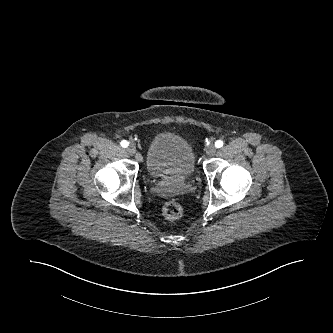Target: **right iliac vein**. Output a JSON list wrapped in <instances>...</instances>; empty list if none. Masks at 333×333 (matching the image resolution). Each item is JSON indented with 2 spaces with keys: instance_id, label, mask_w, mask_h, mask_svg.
<instances>
[{
  "instance_id": "1",
  "label": "right iliac vein",
  "mask_w": 333,
  "mask_h": 333,
  "mask_svg": "<svg viewBox=\"0 0 333 333\" xmlns=\"http://www.w3.org/2000/svg\"><path fill=\"white\" fill-rule=\"evenodd\" d=\"M126 151L130 155H134L136 153V146L134 144H130L127 148Z\"/></svg>"
}]
</instances>
